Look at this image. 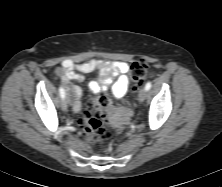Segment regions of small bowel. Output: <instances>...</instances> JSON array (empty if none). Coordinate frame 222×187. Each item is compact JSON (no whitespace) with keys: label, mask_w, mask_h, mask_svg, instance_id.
I'll list each match as a JSON object with an SVG mask.
<instances>
[{"label":"small bowel","mask_w":222,"mask_h":187,"mask_svg":"<svg viewBox=\"0 0 222 187\" xmlns=\"http://www.w3.org/2000/svg\"><path fill=\"white\" fill-rule=\"evenodd\" d=\"M99 71L98 80L89 82V89L93 93H102L105 96L123 98L128 91V64L123 61H107L103 59H92L82 63H75L71 60H64L56 69V75L61 79L67 92L72 97V107L75 112L82 109V90L71 81L82 82L84 74Z\"/></svg>","instance_id":"small-bowel-1"}]
</instances>
